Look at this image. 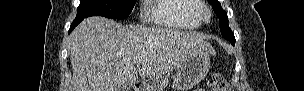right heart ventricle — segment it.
Segmentation results:
<instances>
[{
    "label": "right heart ventricle",
    "instance_id": "1",
    "mask_svg": "<svg viewBox=\"0 0 304 91\" xmlns=\"http://www.w3.org/2000/svg\"><path fill=\"white\" fill-rule=\"evenodd\" d=\"M149 3L150 15L158 26L181 30H193L200 26L198 0H152Z\"/></svg>",
    "mask_w": 304,
    "mask_h": 91
}]
</instances>
